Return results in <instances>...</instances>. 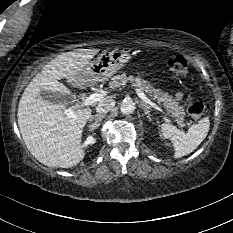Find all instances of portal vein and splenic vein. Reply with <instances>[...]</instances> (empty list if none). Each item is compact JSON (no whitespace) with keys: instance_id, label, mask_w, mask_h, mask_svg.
<instances>
[{"instance_id":"portal-vein-and-splenic-vein-1","label":"portal vein and splenic vein","mask_w":233,"mask_h":233,"mask_svg":"<svg viewBox=\"0 0 233 233\" xmlns=\"http://www.w3.org/2000/svg\"><path fill=\"white\" fill-rule=\"evenodd\" d=\"M136 93L138 94V96L146 103L149 104L151 107H153L154 109L158 110L159 112L166 114L164 112V110L158 106L157 104H155L153 101H151L142 91H140L139 89H136ZM104 96H106L105 92H101V93H93L90 96L86 97L81 106H89L92 105L95 102H98L100 100H102L104 98ZM65 114L69 117H73V109H66L65 110Z\"/></svg>"}]
</instances>
